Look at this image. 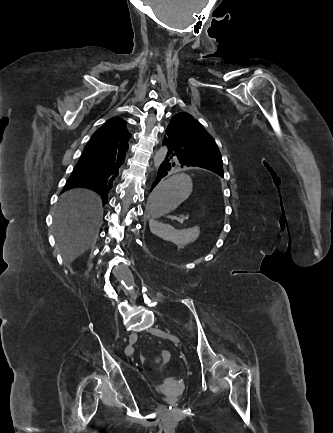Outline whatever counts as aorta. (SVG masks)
<instances>
[{"label":"aorta","mask_w":333,"mask_h":433,"mask_svg":"<svg viewBox=\"0 0 333 433\" xmlns=\"http://www.w3.org/2000/svg\"><path fill=\"white\" fill-rule=\"evenodd\" d=\"M167 151V147L163 146L156 152L154 157V168H158L161 165L166 157Z\"/></svg>","instance_id":"obj_1"}]
</instances>
